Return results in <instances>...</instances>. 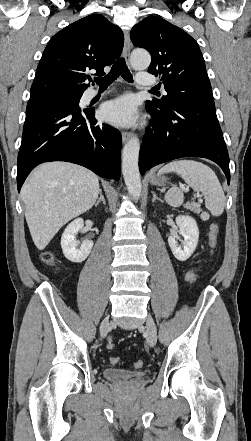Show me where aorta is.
Listing matches in <instances>:
<instances>
[{"mask_svg":"<svg viewBox=\"0 0 251 441\" xmlns=\"http://www.w3.org/2000/svg\"><path fill=\"white\" fill-rule=\"evenodd\" d=\"M151 57L147 51L135 50L131 56V65L138 70L147 69ZM140 141L133 136L125 145L122 151V173L129 194L134 200L141 196V179L138 167Z\"/></svg>","mask_w":251,"mask_h":441,"instance_id":"aorta-1","label":"aorta"}]
</instances>
